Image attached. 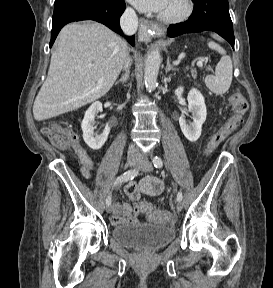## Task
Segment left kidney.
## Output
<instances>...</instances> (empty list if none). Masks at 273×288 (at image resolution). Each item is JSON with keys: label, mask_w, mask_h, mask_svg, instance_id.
I'll list each match as a JSON object with an SVG mask.
<instances>
[{"label": "left kidney", "mask_w": 273, "mask_h": 288, "mask_svg": "<svg viewBox=\"0 0 273 288\" xmlns=\"http://www.w3.org/2000/svg\"><path fill=\"white\" fill-rule=\"evenodd\" d=\"M184 92L183 87L175 90L176 95ZM188 111L192 114L193 122H187L184 116L179 118L182 133L190 142H196L202 131V125L206 120L207 111L203 95L199 90L192 88L188 93Z\"/></svg>", "instance_id": "left-kidney-1"}]
</instances>
